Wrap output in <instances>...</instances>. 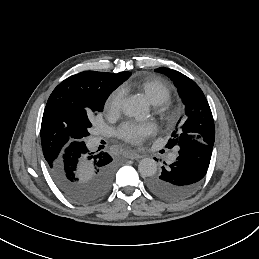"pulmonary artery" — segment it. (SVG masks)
Wrapping results in <instances>:
<instances>
[{
    "label": "pulmonary artery",
    "instance_id": "e3ab8cb5",
    "mask_svg": "<svg viewBox=\"0 0 259 259\" xmlns=\"http://www.w3.org/2000/svg\"><path fill=\"white\" fill-rule=\"evenodd\" d=\"M177 157V153H172L168 156L167 160L168 162H172L173 160H175Z\"/></svg>",
    "mask_w": 259,
    "mask_h": 259
}]
</instances>
